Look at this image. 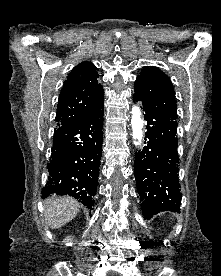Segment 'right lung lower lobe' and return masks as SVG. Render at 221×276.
Here are the masks:
<instances>
[{"mask_svg":"<svg viewBox=\"0 0 221 276\" xmlns=\"http://www.w3.org/2000/svg\"><path fill=\"white\" fill-rule=\"evenodd\" d=\"M102 104L83 121L54 131L49 177L42 198L51 194L69 195L84 206H94L103 140Z\"/></svg>","mask_w":221,"mask_h":276,"instance_id":"right-lung-lower-lobe-1","label":"right lung lower lobe"}]
</instances>
